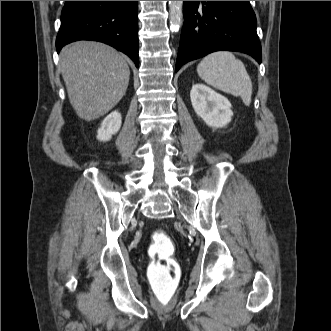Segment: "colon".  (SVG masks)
<instances>
[{"mask_svg":"<svg viewBox=\"0 0 331 331\" xmlns=\"http://www.w3.org/2000/svg\"><path fill=\"white\" fill-rule=\"evenodd\" d=\"M149 253V282L156 302L166 306L174 298L180 279V267L173 258L174 245L170 236L162 230L155 231Z\"/></svg>","mask_w":331,"mask_h":331,"instance_id":"5ec220e1","label":"colon"}]
</instances>
